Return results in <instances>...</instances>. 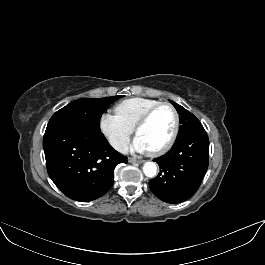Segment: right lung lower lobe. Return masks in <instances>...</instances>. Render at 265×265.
<instances>
[{"label":"right lung lower lobe","instance_id":"obj_1","mask_svg":"<svg viewBox=\"0 0 265 265\" xmlns=\"http://www.w3.org/2000/svg\"><path fill=\"white\" fill-rule=\"evenodd\" d=\"M43 148L52 181L67 197L80 202L105 194L113 185L116 165L127 163L101 130L70 121L48 123Z\"/></svg>","mask_w":265,"mask_h":265}]
</instances>
